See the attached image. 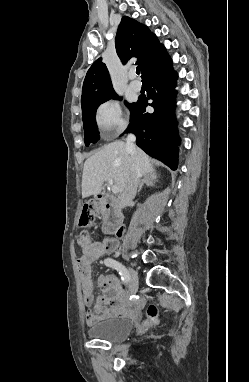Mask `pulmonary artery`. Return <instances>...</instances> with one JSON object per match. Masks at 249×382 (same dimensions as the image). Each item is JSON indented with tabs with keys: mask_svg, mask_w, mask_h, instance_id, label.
<instances>
[{
	"mask_svg": "<svg viewBox=\"0 0 249 382\" xmlns=\"http://www.w3.org/2000/svg\"><path fill=\"white\" fill-rule=\"evenodd\" d=\"M129 78H130V87L135 91H139L142 88V83L140 80L136 78V74L134 71L130 72Z\"/></svg>",
	"mask_w": 249,
	"mask_h": 382,
	"instance_id": "1",
	"label": "pulmonary artery"
}]
</instances>
